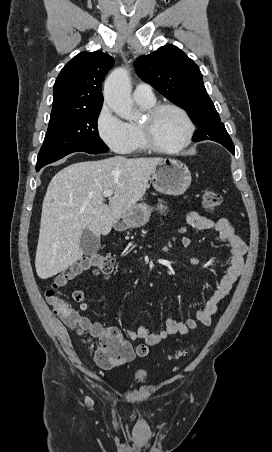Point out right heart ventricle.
<instances>
[{
    "label": "right heart ventricle",
    "instance_id": "obj_1",
    "mask_svg": "<svg viewBox=\"0 0 272 452\" xmlns=\"http://www.w3.org/2000/svg\"><path fill=\"white\" fill-rule=\"evenodd\" d=\"M136 102L144 110L149 109L155 104V101L154 102L136 101ZM127 126L130 132V138L128 147L124 153H137L145 150L147 147L145 146L143 139L141 137L139 123L129 122L127 123Z\"/></svg>",
    "mask_w": 272,
    "mask_h": 452
}]
</instances>
